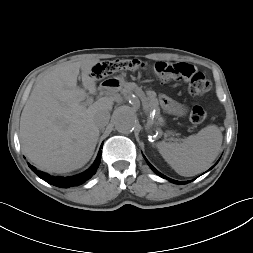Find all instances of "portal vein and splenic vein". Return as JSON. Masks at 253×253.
<instances>
[{
    "label": "portal vein and splenic vein",
    "mask_w": 253,
    "mask_h": 253,
    "mask_svg": "<svg viewBox=\"0 0 253 253\" xmlns=\"http://www.w3.org/2000/svg\"><path fill=\"white\" fill-rule=\"evenodd\" d=\"M139 97H140V94H139ZM141 99V98H140ZM141 101H142V104H143V109H144V111L147 113L148 112V106H147V103L146 102H143V100L141 99ZM92 102H93V99L91 98V97H89V98H87V100H86V102H85V104L84 105H90V104H92ZM151 123H152V121H150Z\"/></svg>",
    "instance_id": "18ae733b"
}]
</instances>
